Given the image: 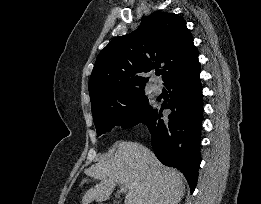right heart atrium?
I'll list each match as a JSON object with an SVG mask.
<instances>
[{
	"label": "right heart atrium",
	"instance_id": "right-heart-atrium-1",
	"mask_svg": "<svg viewBox=\"0 0 261 204\" xmlns=\"http://www.w3.org/2000/svg\"><path fill=\"white\" fill-rule=\"evenodd\" d=\"M130 121L133 126H136L138 124V119L135 116H132Z\"/></svg>",
	"mask_w": 261,
	"mask_h": 204
}]
</instances>
